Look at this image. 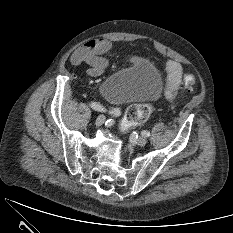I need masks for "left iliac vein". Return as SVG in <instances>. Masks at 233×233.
I'll list each match as a JSON object with an SVG mask.
<instances>
[{
  "label": "left iliac vein",
  "instance_id": "1",
  "mask_svg": "<svg viewBox=\"0 0 233 233\" xmlns=\"http://www.w3.org/2000/svg\"><path fill=\"white\" fill-rule=\"evenodd\" d=\"M136 143L139 146H144L147 143V138L145 136H140L137 140Z\"/></svg>",
  "mask_w": 233,
  "mask_h": 233
}]
</instances>
